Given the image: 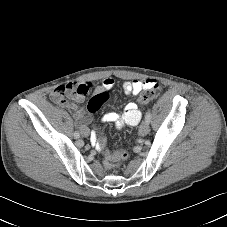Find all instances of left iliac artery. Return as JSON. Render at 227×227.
I'll list each match as a JSON object with an SVG mask.
<instances>
[{"label": "left iliac artery", "instance_id": "left-iliac-artery-1", "mask_svg": "<svg viewBox=\"0 0 227 227\" xmlns=\"http://www.w3.org/2000/svg\"><path fill=\"white\" fill-rule=\"evenodd\" d=\"M150 120H151V112L150 110H148L145 115V121L149 123Z\"/></svg>", "mask_w": 227, "mask_h": 227}]
</instances>
